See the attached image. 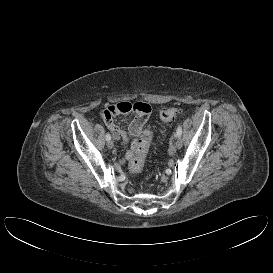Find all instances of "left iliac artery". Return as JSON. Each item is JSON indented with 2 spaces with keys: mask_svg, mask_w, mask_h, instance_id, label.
Here are the masks:
<instances>
[{
  "mask_svg": "<svg viewBox=\"0 0 273 273\" xmlns=\"http://www.w3.org/2000/svg\"><path fill=\"white\" fill-rule=\"evenodd\" d=\"M176 135H177L178 137H181V135H182V127H181V125L178 126V128H177V130H176Z\"/></svg>",
  "mask_w": 273,
  "mask_h": 273,
  "instance_id": "44dca946",
  "label": "left iliac artery"
}]
</instances>
